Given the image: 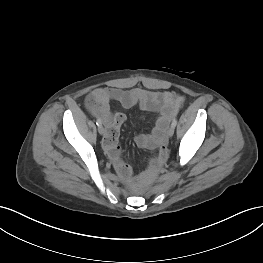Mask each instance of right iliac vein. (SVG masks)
Returning a JSON list of instances; mask_svg holds the SVG:
<instances>
[{
	"instance_id": "1",
	"label": "right iliac vein",
	"mask_w": 263,
	"mask_h": 263,
	"mask_svg": "<svg viewBox=\"0 0 263 263\" xmlns=\"http://www.w3.org/2000/svg\"><path fill=\"white\" fill-rule=\"evenodd\" d=\"M98 132H99V134L104 135L105 129L102 125L98 127Z\"/></svg>"
}]
</instances>
